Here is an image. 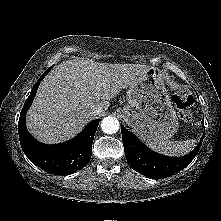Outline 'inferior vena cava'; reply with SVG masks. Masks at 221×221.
Returning a JSON list of instances; mask_svg holds the SVG:
<instances>
[{
    "instance_id": "1",
    "label": "inferior vena cava",
    "mask_w": 221,
    "mask_h": 221,
    "mask_svg": "<svg viewBox=\"0 0 221 221\" xmlns=\"http://www.w3.org/2000/svg\"><path fill=\"white\" fill-rule=\"evenodd\" d=\"M100 112H101V109L98 108V107H96V106H93V107L91 108V110H90V114H91V115H97V114H99Z\"/></svg>"
}]
</instances>
